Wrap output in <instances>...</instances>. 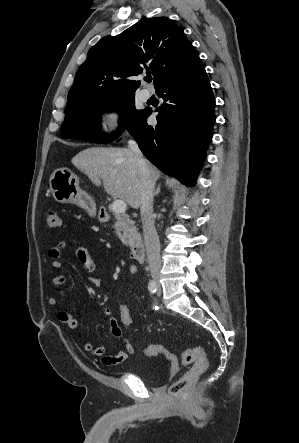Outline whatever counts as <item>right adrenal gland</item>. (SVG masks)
Here are the masks:
<instances>
[{"label": "right adrenal gland", "mask_w": 299, "mask_h": 443, "mask_svg": "<svg viewBox=\"0 0 299 443\" xmlns=\"http://www.w3.org/2000/svg\"><path fill=\"white\" fill-rule=\"evenodd\" d=\"M160 192V185L158 186V188L156 189L155 195H158Z\"/></svg>", "instance_id": "1"}]
</instances>
